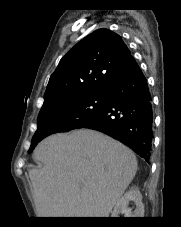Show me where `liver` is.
<instances>
[{"label": "liver", "instance_id": "obj_1", "mask_svg": "<svg viewBox=\"0 0 181 227\" xmlns=\"http://www.w3.org/2000/svg\"><path fill=\"white\" fill-rule=\"evenodd\" d=\"M29 171L39 217H108L137 171L135 154L98 131L74 130L41 141Z\"/></svg>", "mask_w": 181, "mask_h": 227}]
</instances>
